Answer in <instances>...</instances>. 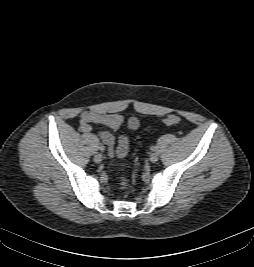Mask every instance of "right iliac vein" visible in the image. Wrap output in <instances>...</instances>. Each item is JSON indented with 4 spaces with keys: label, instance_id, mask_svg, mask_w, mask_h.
Listing matches in <instances>:
<instances>
[{
    "label": "right iliac vein",
    "instance_id": "63e3f726",
    "mask_svg": "<svg viewBox=\"0 0 254 267\" xmlns=\"http://www.w3.org/2000/svg\"><path fill=\"white\" fill-rule=\"evenodd\" d=\"M94 161H95L96 163H100V162L102 161V155H101V154H96V155L94 156Z\"/></svg>",
    "mask_w": 254,
    "mask_h": 267
}]
</instances>
